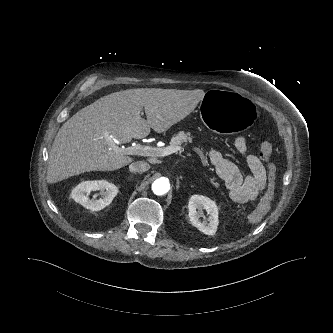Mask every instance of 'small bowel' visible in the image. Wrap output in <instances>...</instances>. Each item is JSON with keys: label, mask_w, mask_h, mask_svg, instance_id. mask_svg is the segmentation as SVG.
Listing matches in <instances>:
<instances>
[{"label": "small bowel", "mask_w": 333, "mask_h": 333, "mask_svg": "<svg viewBox=\"0 0 333 333\" xmlns=\"http://www.w3.org/2000/svg\"><path fill=\"white\" fill-rule=\"evenodd\" d=\"M230 143L245 159L249 169L247 175H243L235 163L224 158L218 149H212L209 152V161L229 187L231 197L235 201L246 203L261 198L263 191L268 186V181L265 179L266 166L257 155L248 151L243 137H234Z\"/></svg>", "instance_id": "c3829d8e"}]
</instances>
